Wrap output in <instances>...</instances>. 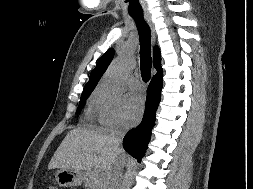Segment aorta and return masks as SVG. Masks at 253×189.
<instances>
[{
  "label": "aorta",
  "mask_w": 253,
  "mask_h": 189,
  "mask_svg": "<svg viewBox=\"0 0 253 189\" xmlns=\"http://www.w3.org/2000/svg\"><path fill=\"white\" fill-rule=\"evenodd\" d=\"M132 67L131 61L128 57L123 56L116 63H114L103 82L105 92L111 97H119L123 92V81L126 74Z\"/></svg>",
  "instance_id": "1"
}]
</instances>
